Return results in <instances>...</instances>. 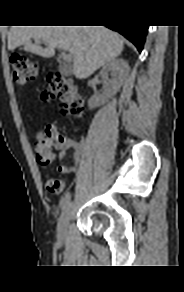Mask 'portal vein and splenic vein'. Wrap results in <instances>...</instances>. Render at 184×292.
Instances as JSON below:
<instances>
[{"label":"portal vein and splenic vein","instance_id":"1","mask_svg":"<svg viewBox=\"0 0 184 292\" xmlns=\"http://www.w3.org/2000/svg\"><path fill=\"white\" fill-rule=\"evenodd\" d=\"M61 54H62V58H63L64 61L71 62V60H72L71 54H67L64 51H62Z\"/></svg>","mask_w":184,"mask_h":292}]
</instances>
